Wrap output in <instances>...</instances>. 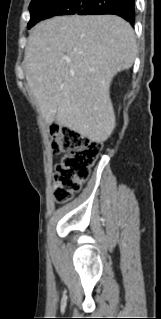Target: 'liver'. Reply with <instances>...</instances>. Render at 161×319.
Listing matches in <instances>:
<instances>
[{
    "instance_id": "1",
    "label": "liver",
    "mask_w": 161,
    "mask_h": 319,
    "mask_svg": "<svg viewBox=\"0 0 161 319\" xmlns=\"http://www.w3.org/2000/svg\"><path fill=\"white\" fill-rule=\"evenodd\" d=\"M136 54L132 27L115 15L58 16L38 23L24 63L44 121L97 143L107 140L115 126L110 83L133 65Z\"/></svg>"
}]
</instances>
